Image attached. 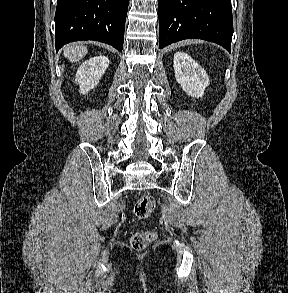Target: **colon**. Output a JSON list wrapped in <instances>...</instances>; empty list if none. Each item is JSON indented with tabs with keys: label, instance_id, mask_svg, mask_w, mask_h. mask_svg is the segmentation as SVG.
Wrapping results in <instances>:
<instances>
[{
	"label": "colon",
	"instance_id": "5ec220e1",
	"mask_svg": "<svg viewBox=\"0 0 288 293\" xmlns=\"http://www.w3.org/2000/svg\"><path fill=\"white\" fill-rule=\"evenodd\" d=\"M155 208V200L150 195L141 196L134 206V213L140 219L151 215ZM156 237L154 232H136L131 238V245L135 250L145 249Z\"/></svg>",
	"mask_w": 288,
	"mask_h": 293
}]
</instances>
